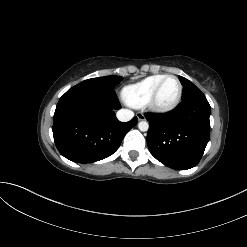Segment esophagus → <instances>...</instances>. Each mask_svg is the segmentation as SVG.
Wrapping results in <instances>:
<instances>
[{"label": "esophagus", "instance_id": "esophagus-1", "mask_svg": "<svg viewBox=\"0 0 247 247\" xmlns=\"http://www.w3.org/2000/svg\"><path fill=\"white\" fill-rule=\"evenodd\" d=\"M137 118H138L139 121L145 120V116L141 112L137 113Z\"/></svg>", "mask_w": 247, "mask_h": 247}]
</instances>
